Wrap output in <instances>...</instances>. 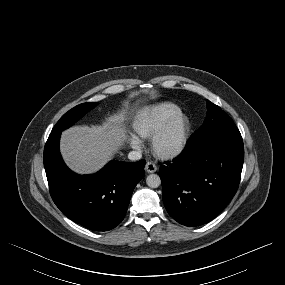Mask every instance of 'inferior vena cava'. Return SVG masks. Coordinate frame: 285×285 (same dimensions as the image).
<instances>
[{"mask_svg":"<svg viewBox=\"0 0 285 285\" xmlns=\"http://www.w3.org/2000/svg\"><path fill=\"white\" fill-rule=\"evenodd\" d=\"M128 158L132 161H136L142 158V154L138 151H131L128 154Z\"/></svg>","mask_w":285,"mask_h":285,"instance_id":"602c4592","label":"inferior vena cava"}]
</instances>
